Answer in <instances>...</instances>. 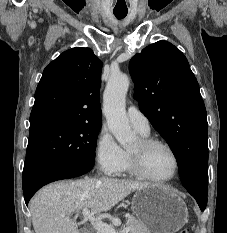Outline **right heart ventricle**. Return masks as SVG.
Masks as SVG:
<instances>
[{
	"label": "right heart ventricle",
	"instance_id": "right-heart-ventricle-1",
	"mask_svg": "<svg viewBox=\"0 0 227 233\" xmlns=\"http://www.w3.org/2000/svg\"><path fill=\"white\" fill-rule=\"evenodd\" d=\"M140 134L142 135V137H148V134H143V133H140ZM124 152H125V161H124V165H123L121 172L133 175L135 173H134L132 166H131V163H130L128 150L127 151L124 150Z\"/></svg>",
	"mask_w": 227,
	"mask_h": 233
}]
</instances>
